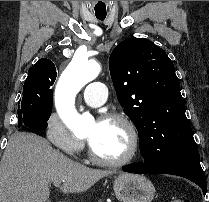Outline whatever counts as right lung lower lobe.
Instances as JSON below:
<instances>
[{
  "label": "right lung lower lobe",
  "instance_id": "98d812e1",
  "mask_svg": "<svg viewBox=\"0 0 209 202\" xmlns=\"http://www.w3.org/2000/svg\"><path fill=\"white\" fill-rule=\"evenodd\" d=\"M23 127H27L29 129L39 131V130L45 129L47 127V123L37 125V124H32V123L25 121V122H23Z\"/></svg>",
  "mask_w": 209,
  "mask_h": 202
}]
</instances>
